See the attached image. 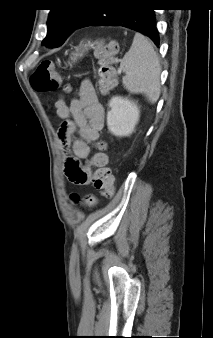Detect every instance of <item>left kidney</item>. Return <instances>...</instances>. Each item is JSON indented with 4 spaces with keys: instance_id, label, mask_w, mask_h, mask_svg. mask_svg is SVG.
Segmentation results:
<instances>
[{
    "instance_id": "5707ae66",
    "label": "left kidney",
    "mask_w": 213,
    "mask_h": 338,
    "mask_svg": "<svg viewBox=\"0 0 213 338\" xmlns=\"http://www.w3.org/2000/svg\"><path fill=\"white\" fill-rule=\"evenodd\" d=\"M107 112V126L109 131L119 137L133 133L139 121L140 110L137 104L120 96L112 97Z\"/></svg>"
}]
</instances>
